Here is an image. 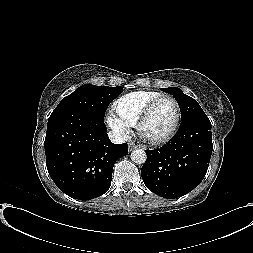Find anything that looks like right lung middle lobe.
I'll return each instance as SVG.
<instances>
[{
    "mask_svg": "<svg viewBox=\"0 0 253 253\" xmlns=\"http://www.w3.org/2000/svg\"><path fill=\"white\" fill-rule=\"evenodd\" d=\"M123 91V88L94 86L85 84L61 100L52 113L65 110H80L94 117L104 119L110 102Z\"/></svg>",
    "mask_w": 253,
    "mask_h": 253,
    "instance_id": "right-lung-middle-lobe-1",
    "label": "right lung middle lobe"
}]
</instances>
